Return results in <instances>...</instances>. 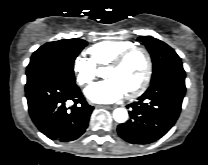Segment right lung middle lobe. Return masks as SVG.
Instances as JSON below:
<instances>
[{
    "label": "right lung middle lobe",
    "instance_id": "right-lung-middle-lobe-1",
    "mask_svg": "<svg viewBox=\"0 0 208 165\" xmlns=\"http://www.w3.org/2000/svg\"><path fill=\"white\" fill-rule=\"evenodd\" d=\"M86 45L82 39H63L41 46L33 53L27 66L26 85L45 77L74 83V60Z\"/></svg>",
    "mask_w": 208,
    "mask_h": 165
}]
</instances>
